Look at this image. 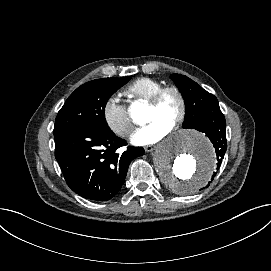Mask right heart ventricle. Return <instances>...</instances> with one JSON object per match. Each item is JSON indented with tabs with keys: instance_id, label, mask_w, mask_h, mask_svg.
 Here are the masks:
<instances>
[{
	"instance_id": "1",
	"label": "right heart ventricle",
	"mask_w": 271,
	"mask_h": 271,
	"mask_svg": "<svg viewBox=\"0 0 271 271\" xmlns=\"http://www.w3.org/2000/svg\"><path fill=\"white\" fill-rule=\"evenodd\" d=\"M163 83L151 77H141L125 88V92L136 101L149 102Z\"/></svg>"
}]
</instances>
